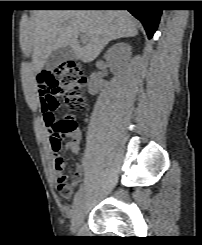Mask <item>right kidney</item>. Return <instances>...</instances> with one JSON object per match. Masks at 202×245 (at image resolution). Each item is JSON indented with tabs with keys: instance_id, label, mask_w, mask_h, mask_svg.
<instances>
[{
	"instance_id": "right-kidney-1",
	"label": "right kidney",
	"mask_w": 202,
	"mask_h": 245,
	"mask_svg": "<svg viewBox=\"0 0 202 245\" xmlns=\"http://www.w3.org/2000/svg\"><path fill=\"white\" fill-rule=\"evenodd\" d=\"M132 47L125 42H119L113 45L105 53V59L110 64L112 70L119 71L130 60ZM103 86V80L96 72L92 73L88 81V92L95 95Z\"/></svg>"
}]
</instances>
